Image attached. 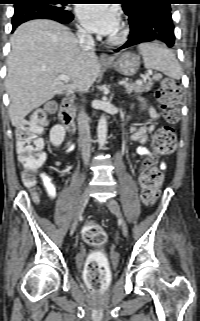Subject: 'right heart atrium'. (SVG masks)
I'll return each mask as SVG.
<instances>
[{
  "instance_id": "obj_1",
  "label": "right heart atrium",
  "mask_w": 200,
  "mask_h": 321,
  "mask_svg": "<svg viewBox=\"0 0 200 321\" xmlns=\"http://www.w3.org/2000/svg\"><path fill=\"white\" fill-rule=\"evenodd\" d=\"M80 32L81 33H85L84 29L80 28Z\"/></svg>"
}]
</instances>
